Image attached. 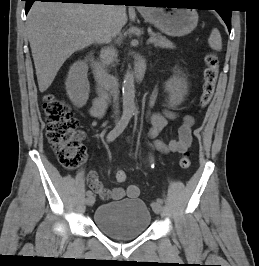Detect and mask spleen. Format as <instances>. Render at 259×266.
I'll use <instances>...</instances> for the list:
<instances>
[{
  "label": "spleen",
  "instance_id": "spleen-1",
  "mask_svg": "<svg viewBox=\"0 0 259 266\" xmlns=\"http://www.w3.org/2000/svg\"><path fill=\"white\" fill-rule=\"evenodd\" d=\"M208 43L213 50L215 51L222 50V39L218 29L215 28L212 30L208 39Z\"/></svg>",
  "mask_w": 259,
  "mask_h": 266
}]
</instances>
